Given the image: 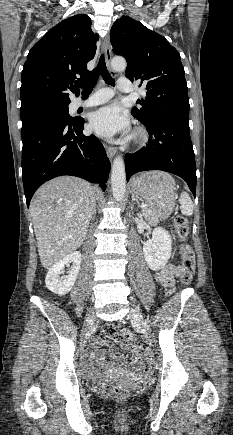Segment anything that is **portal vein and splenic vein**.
Returning <instances> with one entry per match:
<instances>
[{"mask_svg":"<svg viewBox=\"0 0 233 435\" xmlns=\"http://www.w3.org/2000/svg\"><path fill=\"white\" fill-rule=\"evenodd\" d=\"M140 207H141L142 209H144V208H146V207H148V206H147L146 204H141Z\"/></svg>","mask_w":233,"mask_h":435,"instance_id":"portal-vein-and-splenic-vein-1","label":"portal vein and splenic vein"}]
</instances>
